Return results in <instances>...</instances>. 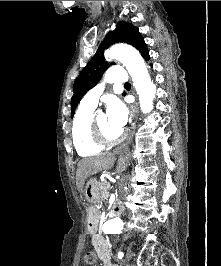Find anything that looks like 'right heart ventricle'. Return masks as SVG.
Instances as JSON below:
<instances>
[{
	"mask_svg": "<svg viewBox=\"0 0 221 266\" xmlns=\"http://www.w3.org/2000/svg\"><path fill=\"white\" fill-rule=\"evenodd\" d=\"M94 108L83 106L77 109L72 125V140L77 153L82 157L99 154L104 146L97 144L91 134V119Z\"/></svg>",
	"mask_w": 221,
	"mask_h": 266,
	"instance_id": "right-heart-ventricle-1",
	"label": "right heart ventricle"
}]
</instances>
